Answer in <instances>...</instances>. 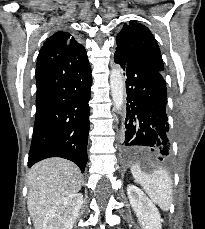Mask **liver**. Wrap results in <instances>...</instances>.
Wrapping results in <instances>:
<instances>
[{
	"label": "liver",
	"instance_id": "liver-1",
	"mask_svg": "<svg viewBox=\"0 0 205 229\" xmlns=\"http://www.w3.org/2000/svg\"><path fill=\"white\" fill-rule=\"evenodd\" d=\"M82 174L71 161L48 158L36 163L27 178V208L35 229H42L50 208L81 189Z\"/></svg>",
	"mask_w": 205,
	"mask_h": 229
}]
</instances>
